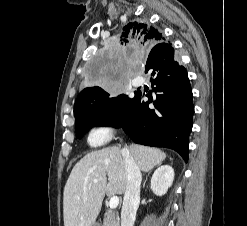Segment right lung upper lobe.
I'll use <instances>...</instances> for the list:
<instances>
[{"label": "right lung upper lobe", "instance_id": "1", "mask_svg": "<svg viewBox=\"0 0 247 226\" xmlns=\"http://www.w3.org/2000/svg\"><path fill=\"white\" fill-rule=\"evenodd\" d=\"M121 45L141 44L145 48L153 47L155 45L165 43V37L156 28L150 26L146 22H130L123 28V32L120 35ZM101 88L87 87L83 89L75 102L74 115L76 116L79 104L89 97H92L95 93L100 91Z\"/></svg>", "mask_w": 247, "mask_h": 226}]
</instances>
